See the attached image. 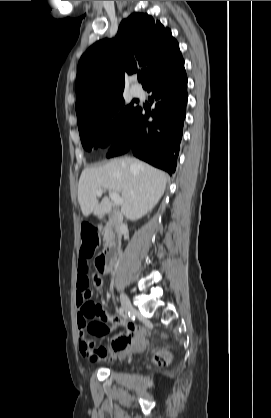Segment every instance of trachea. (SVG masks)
<instances>
[{"instance_id": "trachea-1", "label": "trachea", "mask_w": 271, "mask_h": 418, "mask_svg": "<svg viewBox=\"0 0 271 418\" xmlns=\"http://www.w3.org/2000/svg\"><path fill=\"white\" fill-rule=\"evenodd\" d=\"M139 82L141 81V77L138 78Z\"/></svg>"}]
</instances>
